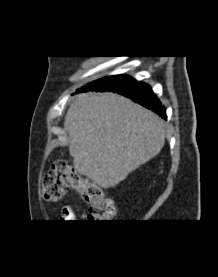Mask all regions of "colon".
Returning <instances> with one entry per match:
<instances>
[{"mask_svg": "<svg viewBox=\"0 0 218 277\" xmlns=\"http://www.w3.org/2000/svg\"><path fill=\"white\" fill-rule=\"evenodd\" d=\"M69 187L79 192L88 204L89 222H108L115 217L114 201L106 197L98 185L83 177L68 162L56 161L43 177L42 194L44 200L47 202L61 200Z\"/></svg>", "mask_w": 218, "mask_h": 277, "instance_id": "5ec220e1", "label": "colon"}]
</instances>
